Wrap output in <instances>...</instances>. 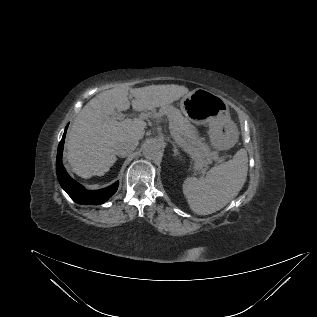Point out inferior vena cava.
<instances>
[{"label":"inferior vena cava","instance_id":"1","mask_svg":"<svg viewBox=\"0 0 317 317\" xmlns=\"http://www.w3.org/2000/svg\"><path fill=\"white\" fill-rule=\"evenodd\" d=\"M138 145L136 140H127L121 143H118L115 147L116 155L118 156H127L130 152L134 151Z\"/></svg>","mask_w":317,"mask_h":317}]
</instances>
